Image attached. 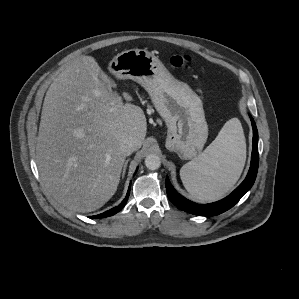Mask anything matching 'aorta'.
Listing matches in <instances>:
<instances>
[{
  "instance_id": "obj_1",
  "label": "aorta",
  "mask_w": 299,
  "mask_h": 299,
  "mask_svg": "<svg viewBox=\"0 0 299 299\" xmlns=\"http://www.w3.org/2000/svg\"><path fill=\"white\" fill-rule=\"evenodd\" d=\"M145 165L149 170H156L161 165L160 157L156 154H149L145 158Z\"/></svg>"
}]
</instances>
